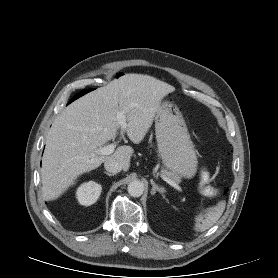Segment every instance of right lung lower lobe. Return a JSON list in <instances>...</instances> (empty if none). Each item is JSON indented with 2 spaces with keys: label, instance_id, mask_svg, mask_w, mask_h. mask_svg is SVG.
Segmentation results:
<instances>
[{
  "label": "right lung lower lobe",
  "instance_id": "right-lung-lower-lobe-1",
  "mask_svg": "<svg viewBox=\"0 0 278 278\" xmlns=\"http://www.w3.org/2000/svg\"><path fill=\"white\" fill-rule=\"evenodd\" d=\"M80 95H81V92L78 93L73 99H76V98L80 97ZM81 96H82V95H81Z\"/></svg>",
  "mask_w": 278,
  "mask_h": 278
}]
</instances>
